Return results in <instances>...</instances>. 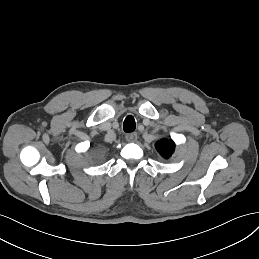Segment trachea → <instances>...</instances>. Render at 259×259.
Returning a JSON list of instances; mask_svg holds the SVG:
<instances>
[{
  "label": "trachea",
  "instance_id": "3493384b",
  "mask_svg": "<svg viewBox=\"0 0 259 259\" xmlns=\"http://www.w3.org/2000/svg\"><path fill=\"white\" fill-rule=\"evenodd\" d=\"M123 127H124V131L126 133L133 132L135 130V127H136V123H135L134 118L132 116H127V118L124 120Z\"/></svg>",
  "mask_w": 259,
  "mask_h": 259
}]
</instances>
